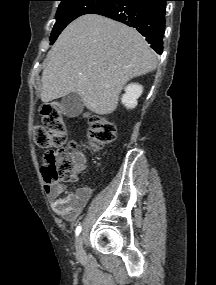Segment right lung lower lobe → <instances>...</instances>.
Here are the masks:
<instances>
[{
	"instance_id": "obj_1",
	"label": "right lung lower lobe",
	"mask_w": 216,
	"mask_h": 285,
	"mask_svg": "<svg viewBox=\"0 0 216 285\" xmlns=\"http://www.w3.org/2000/svg\"><path fill=\"white\" fill-rule=\"evenodd\" d=\"M168 0H113L95 10L99 14L136 28L161 54L165 28V9Z\"/></svg>"
}]
</instances>
